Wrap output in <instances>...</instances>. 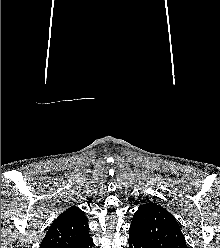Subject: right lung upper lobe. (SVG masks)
<instances>
[{
  "instance_id": "1",
  "label": "right lung upper lobe",
  "mask_w": 220,
  "mask_h": 248,
  "mask_svg": "<svg viewBox=\"0 0 220 248\" xmlns=\"http://www.w3.org/2000/svg\"><path fill=\"white\" fill-rule=\"evenodd\" d=\"M88 231L85 213L72 206L53 221L40 248H77L91 241Z\"/></svg>"
}]
</instances>
